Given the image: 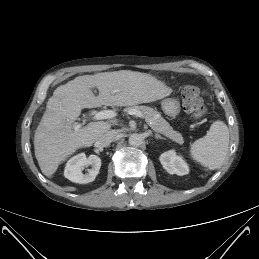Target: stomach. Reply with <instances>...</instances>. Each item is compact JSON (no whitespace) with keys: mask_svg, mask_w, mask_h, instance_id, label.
Here are the masks:
<instances>
[{"mask_svg":"<svg viewBox=\"0 0 259 259\" xmlns=\"http://www.w3.org/2000/svg\"><path fill=\"white\" fill-rule=\"evenodd\" d=\"M162 110L168 116H177L180 113V103L176 99L166 98L162 101Z\"/></svg>","mask_w":259,"mask_h":259,"instance_id":"0dacf381","label":"stomach"}]
</instances>
